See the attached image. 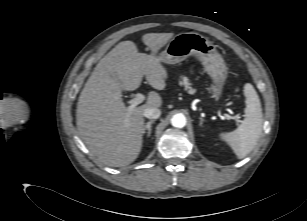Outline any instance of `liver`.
Returning a JSON list of instances; mask_svg holds the SVG:
<instances>
[{
  "label": "liver",
  "instance_id": "obj_1",
  "mask_svg": "<svg viewBox=\"0 0 307 221\" xmlns=\"http://www.w3.org/2000/svg\"><path fill=\"white\" fill-rule=\"evenodd\" d=\"M172 37L173 33L143 35L150 55L139 53L132 41L120 42L98 62L87 80L78 99L77 128L80 138L107 166H127L138 157L144 110L161 107L162 98L151 91L143 105L129 111L122 101V91L137 89L144 75L153 88L165 87L168 74L156 54Z\"/></svg>",
  "mask_w": 307,
  "mask_h": 221
}]
</instances>
